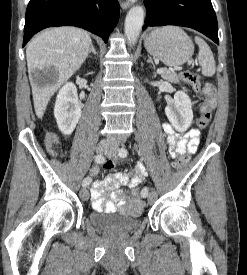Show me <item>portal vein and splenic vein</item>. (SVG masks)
<instances>
[{"label": "portal vein and splenic vein", "mask_w": 247, "mask_h": 275, "mask_svg": "<svg viewBox=\"0 0 247 275\" xmlns=\"http://www.w3.org/2000/svg\"><path fill=\"white\" fill-rule=\"evenodd\" d=\"M164 71H165V70H164L163 68H160V69L157 70V73H158V74H163Z\"/></svg>", "instance_id": "portal-vein-and-splenic-vein-1"}]
</instances>
